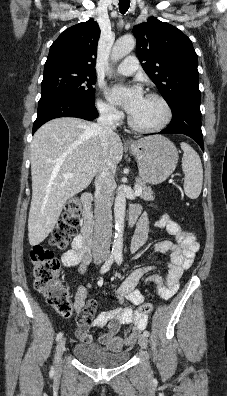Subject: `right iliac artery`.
<instances>
[{
	"instance_id": "1",
	"label": "right iliac artery",
	"mask_w": 227,
	"mask_h": 396,
	"mask_svg": "<svg viewBox=\"0 0 227 396\" xmlns=\"http://www.w3.org/2000/svg\"><path fill=\"white\" fill-rule=\"evenodd\" d=\"M115 258H116V254H111V255L109 256V258L107 259V261L104 263V265H103V266L101 267V269H100V273H101V274L106 273V272L110 269V267L112 266V264H113ZM62 336H63L62 332H59V333L57 334L56 341H59V340L62 338ZM51 372H53V368L51 369Z\"/></svg>"
}]
</instances>
